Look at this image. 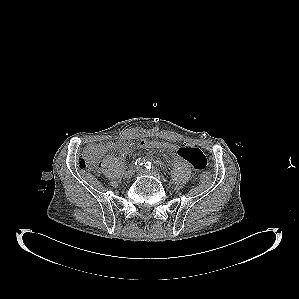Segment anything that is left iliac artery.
Wrapping results in <instances>:
<instances>
[{"instance_id":"44dca946","label":"left iliac artery","mask_w":299,"mask_h":299,"mask_svg":"<svg viewBox=\"0 0 299 299\" xmlns=\"http://www.w3.org/2000/svg\"><path fill=\"white\" fill-rule=\"evenodd\" d=\"M145 167H146V169H148V170H150L151 168L153 169L152 163L149 162V161H147V162L145 163Z\"/></svg>"}]
</instances>
